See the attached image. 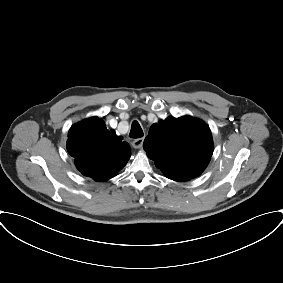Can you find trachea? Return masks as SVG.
<instances>
[{
	"instance_id": "1",
	"label": "trachea",
	"mask_w": 283,
	"mask_h": 283,
	"mask_svg": "<svg viewBox=\"0 0 283 283\" xmlns=\"http://www.w3.org/2000/svg\"><path fill=\"white\" fill-rule=\"evenodd\" d=\"M143 135L144 134L140 124L137 121H133L129 136L131 138H141Z\"/></svg>"
}]
</instances>
